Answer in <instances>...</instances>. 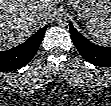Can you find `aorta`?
Masks as SVG:
<instances>
[{
    "instance_id": "1",
    "label": "aorta",
    "mask_w": 111,
    "mask_h": 106,
    "mask_svg": "<svg viewBox=\"0 0 111 106\" xmlns=\"http://www.w3.org/2000/svg\"><path fill=\"white\" fill-rule=\"evenodd\" d=\"M57 22L60 26H66L68 25V20L66 17L64 16H60L58 19H57Z\"/></svg>"
}]
</instances>
